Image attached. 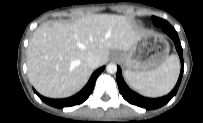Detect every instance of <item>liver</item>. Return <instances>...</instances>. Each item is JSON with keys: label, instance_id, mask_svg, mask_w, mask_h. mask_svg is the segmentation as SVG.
<instances>
[{"label": "liver", "instance_id": "obj_1", "mask_svg": "<svg viewBox=\"0 0 203 123\" xmlns=\"http://www.w3.org/2000/svg\"><path fill=\"white\" fill-rule=\"evenodd\" d=\"M146 31L125 16L87 15L73 22L52 21L39 26L27 48L28 77L33 87L49 98H67L87 83L93 68L86 59L97 56L98 67L110 50H129Z\"/></svg>", "mask_w": 203, "mask_h": 123}]
</instances>
